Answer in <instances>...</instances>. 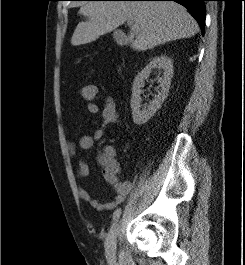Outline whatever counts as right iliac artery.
I'll return each instance as SVG.
<instances>
[{
	"label": "right iliac artery",
	"instance_id": "1",
	"mask_svg": "<svg viewBox=\"0 0 245 265\" xmlns=\"http://www.w3.org/2000/svg\"><path fill=\"white\" fill-rule=\"evenodd\" d=\"M120 214H121V208H117L113 213V221H116L120 217Z\"/></svg>",
	"mask_w": 245,
	"mask_h": 265
}]
</instances>
